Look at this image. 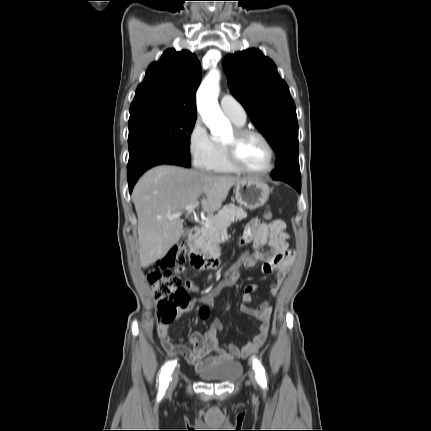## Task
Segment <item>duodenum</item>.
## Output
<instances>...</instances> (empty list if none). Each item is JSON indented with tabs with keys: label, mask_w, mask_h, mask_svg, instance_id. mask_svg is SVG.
<instances>
[{
	"label": "duodenum",
	"mask_w": 431,
	"mask_h": 431,
	"mask_svg": "<svg viewBox=\"0 0 431 431\" xmlns=\"http://www.w3.org/2000/svg\"><path fill=\"white\" fill-rule=\"evenodd\" d=\"M200 233V229L198 227H194L191 229L187 238V244L190 248V264L192 267L198 270L217 268L220 264L217 256L205 255L199 252L196 248V242L200 236Z\"/></svg>",
	"instance_id": "410a0bca"
}]
</instances>
